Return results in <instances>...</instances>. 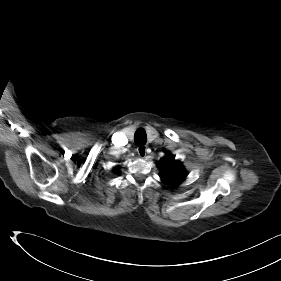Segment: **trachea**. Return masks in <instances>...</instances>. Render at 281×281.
Instances as JSON below:
<instances>
[{
	"mask_svg": "<svg viewBox=\"0 0 281 281\" xmlns=\"http://www.w3.org/2000/svg\"><path fill=\"white\" fill-rule=\"evenodd\" d=\"M147 141V135L144 129L139 128L134 135V142L137 145H144Z\"/></svg>",
	"mask_w": 281,
	"mask_h": 281,
	"instance_id": "1",
	"label": "trachea"
}]
</instances>
